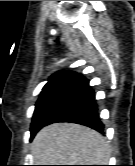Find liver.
I'll list each match as a JSON object with an SVG mask.
<instances>
[{
    "mask_svg": "<svg viewBox=\"0 0 135 166\" xmlns=\"http://www.w3.org/2000/svg\"><path fill=\"white\" fill-rule=\"evenodd\" d=\"M37 165H106L110 149L97 131L73 123L42 128L31 144Z\"/></svg>",
    "mask_w": 135,
    "mask_h": 166,
    "instance_id": "1",
    "label": "liver"
}]
</instances>
